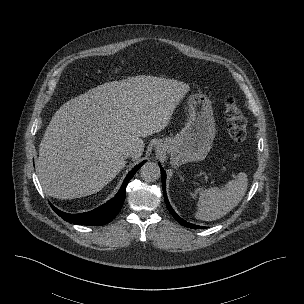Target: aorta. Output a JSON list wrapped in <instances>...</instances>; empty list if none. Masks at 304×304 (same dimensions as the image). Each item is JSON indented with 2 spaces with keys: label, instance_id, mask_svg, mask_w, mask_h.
I'll return each mask as SVG.
<instances>
[{
  "label": "aorta",
  "instance_id": "aorta-1",
  "mask_svg": "<svg viewBox=\"0 0 304 304\" xmlns=\"http://www.w3.org/2000/svg\"><path fill=\"white\" fill-rule=\"evenodd\" d=\"M140 176L146 182H154L160 177V168L154 162H147L140 168Z\"/></svg>",
  "mask_w": 304,
  "mask_h": 304
}]
</instances>
